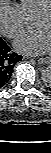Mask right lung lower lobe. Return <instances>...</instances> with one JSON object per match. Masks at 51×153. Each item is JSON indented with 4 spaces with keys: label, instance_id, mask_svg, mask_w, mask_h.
Wrapping results in <instances>:
<instances>
[{
    "label": "right lung lower lobe",
    "instance_id": "right-lung-lower-lobe-1",
    "mask_svg": "<svg viewBox=\"0 0 51 153\" xmlns=\"http://www.w3.org/2000/svg\"><path fill=\"white\" fill-rule=\"evenodd\" d=\"M10 51L8 45L0 38V88L8 83L14 65L22 59L21 55Z\"/></svg>",
    "mask_w": 51,
    "mask_h": 153
}]
</instances>
